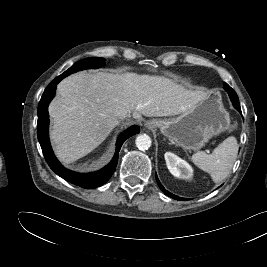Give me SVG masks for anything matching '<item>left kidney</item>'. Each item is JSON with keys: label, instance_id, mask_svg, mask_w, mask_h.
I'll return each instance as SVG.
<instances>
[{"label": "left kidney", "instance_id": "1", "mask_svg": "<svg viewBox=\"0 0 267 267\" xmlns=\"http://www.w3.org/2000/svg\"><path fill=\"white\" fill-rule=\"evenodd\" d=\"M167 167L172 175L181 179H191L193 176L192 167L177 155L167 152L164 155Z\"/></svg>", "mask_w": 267, "mask_h": 267}]
</instances>
